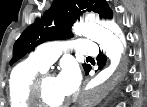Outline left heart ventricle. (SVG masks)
Instances as JSON below:
<instances>
[{
  "mask_svg": "<svg viewBox=\"0 0 147 107\" xmlns=\"http://www.w3.org/2000/svg\"><path fill=\"white\" fill-rule=\"evenodd\" d=\"M42 95L44 101L49 104H57L67 100V97L60 92L57 80L54 77H50L44 81Z\"/></svg>",
  "mask_w": 147,
  "mask_h": 107,
  "instance_id": "b2bd125f",
  "label": "left heart ventricle"
}]
</instances>
